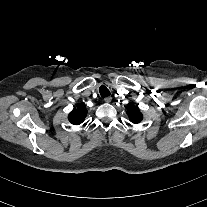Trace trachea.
Here are the masks:
<instances>
[{
  "label": "trachea",
  "mask_w": 207,
  "mask_h": 207,
  "mask_svg": "<svg viewBox=\"0 0 207 207\" xmlns=\"http://www.w3.org/2000/svg\"><path fill=\"white\" fill-rule=\"evenodd\" d=\"M99 92H100L101 97H106V96H109L110 95V91L104 85H101L100 86Z\"/></svg>",
  "instance_id": "obj_1"
}]
</instances>
